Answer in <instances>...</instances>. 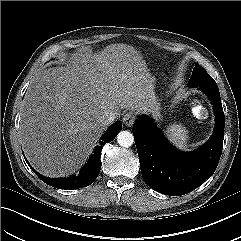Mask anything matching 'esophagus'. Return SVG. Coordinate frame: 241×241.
Listing matches in <instances>:
<instances>
[{
  "mask_svg": "<svg viewBox=\"0 0 241 241\" xmlns=\"http://www.w3.org/2000/svg\"><path fill=\"white\" fill-rule=\"evenodd\" d=\"M135 114L132 111L127 112L123 117V122L127 127H131L135 122Z\"/></svg>",
  "mask_w": 241,
  "mask_h": 241,
  "instance_id": "esophagus-1",
  "label": "esophagus"
}]
</instances>
